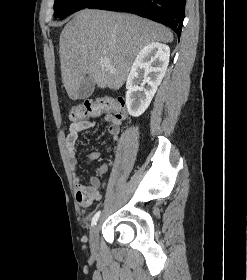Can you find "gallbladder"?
Segmentation results:
<instances>
[{
	"instance_id": "obj_1",
	"label": "gallbladder",
	"mask_w": 247,
	"mask_h": 280,
	"mask_svg": "<svg viewBox=\"0 0 247 280\" xmlns=\"http://www.w3.org/2000/svg\"><path fill=\"white\" fill-rule=\"evenodd\" d=\"M95 83L90 78L87 77L79 86L74 96H72V99H86L90 97L94 91Z\"/></svg>"
}]
</instances>
